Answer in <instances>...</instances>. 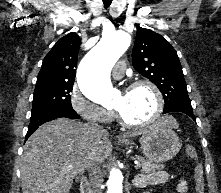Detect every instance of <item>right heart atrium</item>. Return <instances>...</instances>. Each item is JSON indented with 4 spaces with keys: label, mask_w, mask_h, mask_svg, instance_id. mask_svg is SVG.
Instances as JSON below:
<instances>
[{
    "label": "right heart atrium",
    "mask_w": 221,
    "mask_h": 193,
    "mask_svg": "<svg viewBox=\"0 0 221 193\" xmlns=\"http://www.w3.org/2000/svg\"><path fill=\"white\" fill-rule=\"evenodd\" d=\"M69 102L72 109L89 122L106 124L114 117V112L111 109L104 108L91 101L77 86L72 88Z\"/></svg>",
    "instance_id": "1"
}]
</instances>
